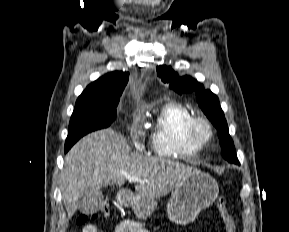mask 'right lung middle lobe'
Listing matches in <instances>:
<instances>
[{"instance_id":"right-lung-middle-lobe-1","label":"right lung middle lobe","mask_w":289,"mask_h":232,"mask_svg":"<svg viewBox=\"0 0 289 232\" xmlns=\"http://www.w3.org/2000/svg\"><path fill=\"white\" fill-rule=\"evenodd\" d=\"M120 98H78L65 143L67 152L82 136L106 128L116 119Z\"/></svg>"}]
</instances>
